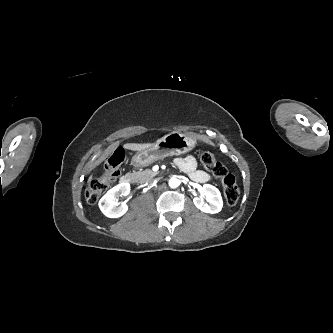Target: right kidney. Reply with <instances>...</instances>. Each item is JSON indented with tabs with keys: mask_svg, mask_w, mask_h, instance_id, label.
<instances>
[{
	"mask_svg": "<svg viewBox=\"0 0 333 333\" xmlns=\"http://www.w3.org/2000/svg\"><path fill=\"white\" fill-rule=\"evenodd\" d=\"M130 192V183L122 182L111 188L99 201V208L109 218H118L128 210L126 202L118 203L119 196H126Z\"/></svg>",
	"mask_w": 333,
	"mask_h": 333,
	"instance_id": "1",
	"label": "right kidney"
}]
</instances>
